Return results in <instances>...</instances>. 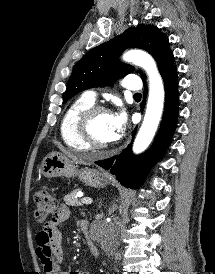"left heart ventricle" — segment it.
<instances>
[{
    "label": "left heart ventricle",
    "instance_id": "b2bd125f",
    "mask_svg": "<svg viewBox=\"0 0 215 274\" xmlns=\"http://www.w3.org/2000/svg\"><path fill=\"white\" fill-rule=\"evenodd\" d=\"M92 131L97 141L102 143L112 142L114 139L111 127V114L100 113L97 115L92 125Z\"/></svg>",
    "mask_w": 215,
    "mask_h": 274
}]
</instances>
